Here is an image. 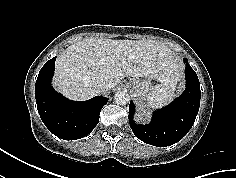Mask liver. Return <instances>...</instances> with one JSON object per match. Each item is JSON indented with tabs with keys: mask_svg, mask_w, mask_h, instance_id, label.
Listing matches in <instances>:
<instances>
[{
	"mask_svg": "<svg viewBox=\"0 0 236 178\" xmlns=\"http://www.w3.org/2000/svg\"><path fill=\"white\" fill-rule=\"evenodd\" d=\"M54 86L74 100L96 94L95 83L105 80L110 90L125 77L174 83L180 65L163 43L150 40L87 38L67 47L55 63Z\"/></svg>",
	"mask_w": 236,
	"mask_h": 178,
	"instance_id": "1",
	"label": "liver"
}]
</instances>
